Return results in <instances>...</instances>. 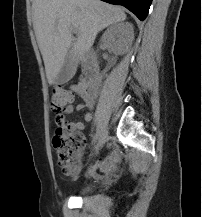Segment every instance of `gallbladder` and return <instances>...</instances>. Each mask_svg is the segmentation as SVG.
I'll return each instance as SVG.
<instances>
[{"label":"gallbladder","instance_id":"bac80fb5","mask_svg":"<svg viewBox=\"0 0 202 217\" xmlns=\"http://www.w3.org/2000/svg\"><path fill=\"white\" fill-rule=\"evenodd\" d=\"M76 69H77V62L74 55L71 53L66 57L65 62L61 70L57 74L53 85L58 86L70 81L75 75Z\"/></svg>","mask_w":202,"mask_h":217}]
</instances>
